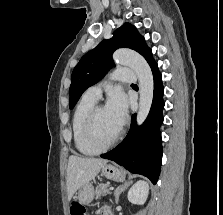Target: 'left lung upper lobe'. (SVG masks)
<instances>
[{
  "label": "left lung upper lobe",
  "mask_w": 223,
  "mask_h": 215,
  "mask_svg": "<svg viewBox=\"0 0 223 215\" xmlns=\"http://www.w3.org/2000/svg\"><path fill=\"white\" fill-rule=\"evenodd\" d=\"M121 47H127L140 53L148 62L155 63L152 51L136 28L125 23L114 32L111 39L103 40L94 49L85 54L72 73L69 108L72 109L82 93L101 80L113 66L112 53Z\"/></svg>",
  "instance_id": "5c2ea615"
}]
</instances>
